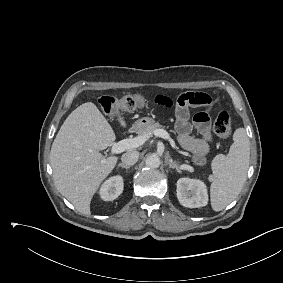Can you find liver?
<instances>
[{
	"instance_id": "1",
	"label": "liver",
	"mask_w": 283,
	"mask_h": 283,
	"mask_svg": "<svg viewBox=\"0 0 283 283\" xmlns=\"http://www.w3.org/2000/svg\"><path fill=\"white\" fill-rule=\"evenodd\" d=\"M116 113L120 125L126 127ZM115 139L112 127L92 102L72 111L54 139L50 160L56 187L84 215H90L93 195L116 166L118 157L99 153Z\"/></svg>"
}]
</instances>
